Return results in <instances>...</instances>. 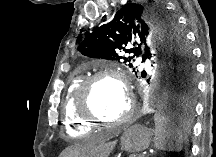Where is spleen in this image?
<instances>
[{
  "label": "spleen",
  "mask_w": 216,
  "mask_h": 157,
  "mask_svg": "<svg viewBox=\"0 0 216 157\" xmlns=\"http://www.w3.org/2000/svg\"><path fill=\"white\" fill-rule=\"evenodd\" d=\"M154 146L162 151H181L184 135L174 127L173 122L166 116H154Z\"/></svg>",
  "instance_id": "1"
}]
</instances>
